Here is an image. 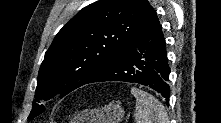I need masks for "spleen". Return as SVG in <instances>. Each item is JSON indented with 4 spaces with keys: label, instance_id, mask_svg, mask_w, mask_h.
I'll use <instances>...</instances> for the list:
<instances>
[{
    "label": "spleen",
    "instance_id": "1",
    "mask_svg": "<svg viewBox=\"0 0 221 123\" xmlns=\"http://www.w3.org/2000/svg\"><path fill=\"white\" fill-rule=\"evenodd\" d=\"M131 94L136 99V123H168L165 108L155 97L136 87L131 88Z\"/></svg>",
    "mask_w": 221,
    "mask_h": 123
}]
</instances>
